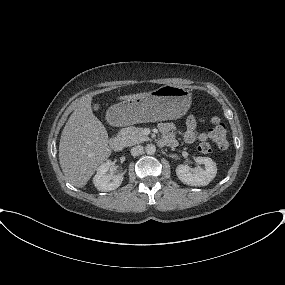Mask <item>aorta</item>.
Masks as SVG:
<instances>
[{"label":"aorta","mask_w":285,"mask_h":285,"mask_svg":"<svg viewBox=\"0 0 285 285\" xmlns=\"http://www.w3.org/2000/svg\"><path fill=\"white\" fill-rule=\"evenodd\" d=\"M145 151L149 155H153L156 152V147L153 144H147L145 147Z\"/></svg>","instance_id":"obj_1"}]
</instances>
